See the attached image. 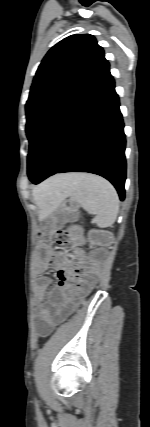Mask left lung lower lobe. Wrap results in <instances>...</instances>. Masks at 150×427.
<instances>
[{
	"label": "left lung lower lobe",
	"instance_id": "1",
	"mask_svg": "<svg viewBox=\"0 0 150 427\" xmlns=\"http://www.w3.org/2000/svg\"><path fill=\"white\" fill-rule=\"evenodd\" d=\"M124 124L109 67L33 136L28 176L38 184L62 172H89L109 180L124 200Z\"/></svg>",
	"mask_w": 150,
	"mask_h": 427
}]
</instances>
